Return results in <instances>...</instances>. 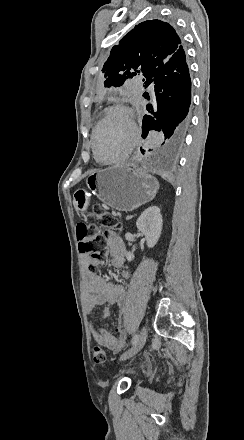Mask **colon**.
<instances>
[{
  "mask_svg": "<svg viewBox=\"0 0 244 440\" xmlns=\"http://www.w3.org/2000/svg\"><path fill=\"white\" fill-rule=\"evenodd\" d=\"M91 215L92 222L77 225V240L79 251L82 254H89V269L94 272L107 259V241L101 230H120L122 223L117 221L115 214L104 212L99 205L93 206ZM92 359L95 365L105 364L106 354L102 347H93Z\"/></svg>",
  "mask_w": 244,
  "mask_h": 440,
  "instance_id": "colon-1",
  "label": "colon"
}]
</instances>
